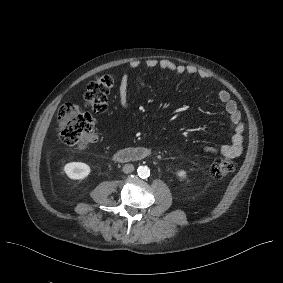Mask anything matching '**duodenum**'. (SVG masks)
<instances>
[{"label":"duodenum","mask_w":283,"mask_h":283,"mask_svg":"<svg viewBox=\"0 0 283 283\" xmlns=\"http://www.w3.org/2000/svg\"><path fill=\"white\" fill-rule=\"evenodd\" d=\"M151 156V151L147 148L137 147L129 148L118 151L114 155V160L117 162H132V161H141L147 159Z\"/></svg>","instance_id":"1"}]
</instances>
